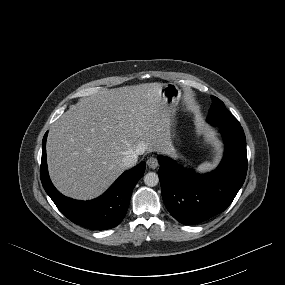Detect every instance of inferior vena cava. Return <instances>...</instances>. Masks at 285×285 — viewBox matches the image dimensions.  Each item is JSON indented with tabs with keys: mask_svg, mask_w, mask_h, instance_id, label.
I'll return each mask as SVG.
<instances>
[{
	"mask_svg": "<svg viewBox=\"0 0 285 285\" xmlns=\"http://www.w3.org/2000/svg\"><path fill=\"white\" fill-rule=\"evenodd\" d=\"M138 161V156L137 154L133 153V154H129L127 156L124 157L123 159V165L126 167V168H131L133 167L134 165H136Z\"/></svg>",
	"mask_w": 285,
	"mask_h": 285,
	"instance_id": "602c4592",
	"label": "inferior vena cava"
}]
</instances>
